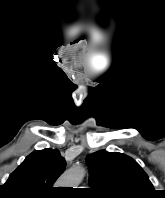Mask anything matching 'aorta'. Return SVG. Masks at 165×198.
I'll use <instances>...</instances> for the list:
<instances>
[{
	"label": "aorta",
	"instance_id": "1",
	"mask_svg": "<svg viewBox=\"0 0 165 198\" xmlns=\"http://www.w3.org/2000/svg\"><path fill=\"white\" fill-rule=\"evenodd\" d=\"M84 176L85 169L80 165H75L62 175L58 184L60 187L77 188Z\"/></svg>",
	"mask_w": 165,
	"mask_h": 198
}]
</instances>
